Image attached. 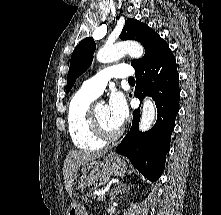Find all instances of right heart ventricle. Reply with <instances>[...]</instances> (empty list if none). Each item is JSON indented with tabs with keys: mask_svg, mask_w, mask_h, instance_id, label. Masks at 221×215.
<instances>
[{
	"mask_svg": "<svg viewBox=\"0 0 221 215\" xmlns=\"http://www.w3.org/2000/svg\"><path fill=\"white\" fill-rule=\"evenodd\" d=\"M95 98L81 89L68 104L67 127L71 141L75 147L85 151L99 150L104 146V141L94 134L89 120V107Z\"/></svg>",
	"mask_w": 221,
	"mask_h": 215,
	"instance_id": "1",
	"label": "right heart ventricle"
}]
</instances>
